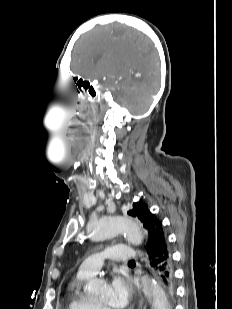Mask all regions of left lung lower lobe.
Here are the masks:
<instances>
[{
	"label": "left lung lower lobe",
	"instance_id": "left-lung-lower-lobe-1",
	"mask_svg": "<svg viewBox=\"0 0 232 309\" xmlns=\"http://www.w3.org/2000/svg\"><path fill=\"white\" fill-rule=\"evenodd\" d=\"M150 266L158 274L165 291L175 292L172 256L166 234L160 223L155 230L153 239L146 245Z\"/></svg>",
	"mask_w": 232,
	"mask_h": 309
}]
</instances>
